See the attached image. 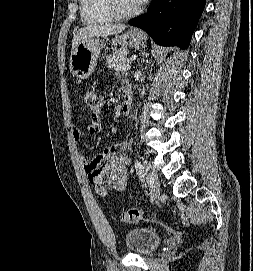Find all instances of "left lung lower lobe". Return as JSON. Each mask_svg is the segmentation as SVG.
Listing matches in <instances>:
<instances>
[{"instance_id": "obj_1", "label": "left lung lower lobe", "mask_w": 253, "mask_h": 271, "mask_svg": "<svg viewBox=\"0 0 253 271\" xmlns=\"http://www.w3.org/2000/svg\"><path fill=\"white\" fill-rule=\"evenodd\" d=\"M206 0H153L148 12L130 20L162 46L186 49Z\"/></svg>"}]
</instances>
